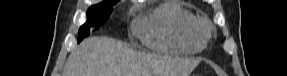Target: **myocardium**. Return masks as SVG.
<instances>
[{
    "label": "myocardium",
    "mask_w": 287,
    "mask_h": 76,
    "mask_svg": "<svg viewBox=\"0 0 287 76\" xmlns=\"http://www.w3.org/2000/svg\"><path fill=\"white\" fill-rule=\"evenodd\" d=\"M200 30L205 37L209 36L210 26L206 21H200Z\"/></svg>",
    "instance_id": "f54148a6"
}]
</instances>
